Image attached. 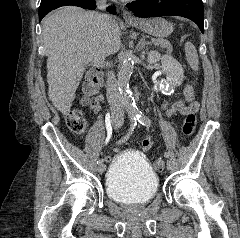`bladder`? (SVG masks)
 Wrapping results in <instances>:
<instances>
[{
	"mask_svg": "<svg viewBox=\"0 0 240 238\" xmlns=\"http://www.w3.org/2000/svg\"><path fill=\"white\" fill-rule=\"evenodd\" d=\"M158 189L157 173L147 158L134 150L120 152L106 175L107 195L117 203H148L156 196Z\"/></svg>",
	"mask_w": 240,
	"mask_h": 238,
	"instance_id": "1",
	"label": "bladder"
}]
</instances>
